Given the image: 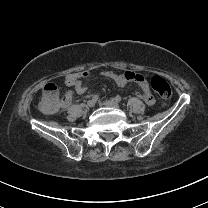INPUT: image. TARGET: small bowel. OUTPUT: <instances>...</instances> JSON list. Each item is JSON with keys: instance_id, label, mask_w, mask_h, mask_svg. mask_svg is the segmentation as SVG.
Segmentation results:
<instances>
[{"instance_id": "small-bowel-1", "label": "small bowel", "mask_w": 208, "mask_h": 208, "mask_svg": "<svg viewBox=\"0 0 208 208\" xmlns=\"http://www.w3.org/2000/svg\"><path fill=\"white\" fill-rule=\"evenodd\" d=\"M104 76L110 80L117 82L119 85H124L127 82H135L141 88V94L139 96L145 101L146 104H154V97L149 89V85L146 79L137 73L128 71L126 73H120L113 70H105ZM89 72H77L66 76L65 84L72 89V92L77 94H83L86 91V86L82 83V80L89 77ZM70 91H65L62 99L61 108L67 109L72 98Z\"/></svg>"}]
</instances>
